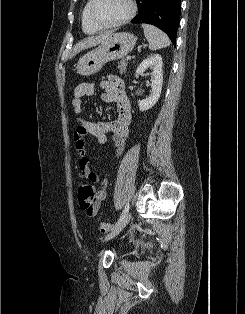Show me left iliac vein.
Listing matches in <instances>:
<instances>
[{"mask_svg": "<svg viewBox=\"0 0 245 314\" xmlns=\"http://www.w3.org/2000/svg\"><path fill=\"white\" fill-rule=\"evenodd\" d=\"M131 219V212H127L124 216V218L119 222V224L116 226V228L111 232L109 233L106 238H105V241H108V240H111L113 239L116 235H118L122 230L123 228L128 224V222L130 221Z\"/></svg>", "mask_w": 245, "mask_h": 314, "instance_id": "obj_1", "label": "left iliac vein"}]
</instances>
